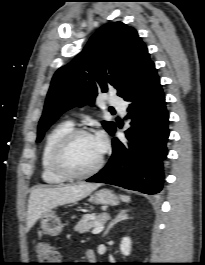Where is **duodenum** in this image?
<instances>
[{"mask_svg": "<svg viewBox=\"0 0 205 265\" xmlns=\"http://www.w3.org/2000/svg\"><path fill=\"white\" fill-rule=\"evenodd\" d=\"M87 258H88V261H90V262L95 261L96 256H95V253H94L93 250L89 249V250L87 251Z\"/></svg>", "mask_w": 205, "mask_h": 265, "instance_id": "410a0bca", "label": "duodenum"}]
</instances>
